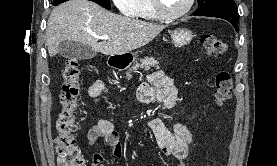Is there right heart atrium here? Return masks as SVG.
<instances>
[{
	"label": "right heart atrium",
	"instance_id": "obj_1",
	"mask_svg": "<svg viewBox=\"0 0 277 166\" xmlns=\"http://www.w3.org/2000/svg\"><path fill=\"white\" fill-rule=\"evenodd\" d=\"M117 9L127 15L132 16L136 11L140 0H112Z\"/></svg>",
	"mask_w": 277,
	"mask_h": 166
}]
</instances>
